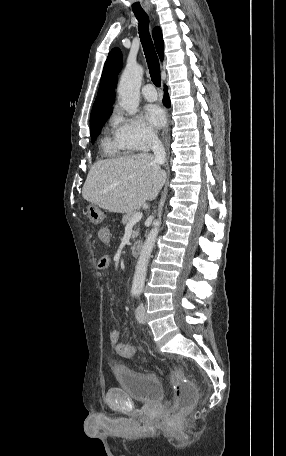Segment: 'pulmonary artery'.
Wrapping results in <instances>:
<instances>
[{
    "label": "pulmonary artery",
    "instance_id": "1",
    "mask_svg": "<svg viewBox=\"0 0 286 456\" xmlns=\"http://www.w3.org/2000/svg\"><path fill=\"white\" fill-rule=\"evenodd\" d=\"M142 96L146 101H155L157 99V92L152 84H146L141 90Z\"/></svg>",
    "mask_w": 286,
    "mask_h": 456
}]
</instances>
